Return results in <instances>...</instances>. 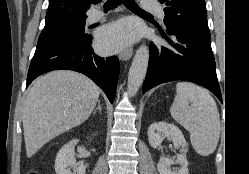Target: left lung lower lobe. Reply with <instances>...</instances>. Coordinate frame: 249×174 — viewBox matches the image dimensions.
<instances>
[{
	"instance_id": "obj_1",
	"label": "left lung lower lobe",
	"mask_w": 249,
	"mask_h": 174,
	"mask_svg": "<svg viewBox=\"0 0 249 174\" xmlns=\"http://www.w3.org/2000/svg\"><path fill=\"white\" fill-rule=\"evenodd\" d=\"M160 33L172 48L153 42L150 44V59L142 92L165 82L184 80L204 86L222 102L210 32H170L174 41L163 31Z\"/></svg>"
}]
</instances>
